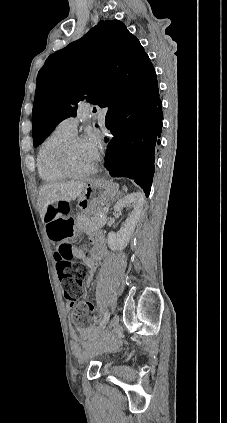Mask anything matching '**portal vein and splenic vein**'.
<instances>
[{
	"label": "portal vein and splenic vein",
	"mask_w": 227,
	"mask_h": 423,
	"mask_svg": "<svg viewBox=\"0 0 227 423\" xmlns=\"http://www.w3.org/2000/svg\"><path fill=\"white\" fill-rule=\"evenodd\" d=\"M103 211H109V208H103Z\"/></svg>",
	"instance_id": "18ae733b"
}]
</instances>
